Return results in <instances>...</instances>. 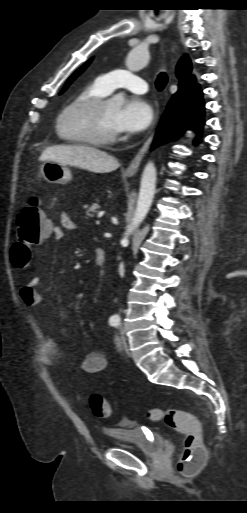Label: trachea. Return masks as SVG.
Returning <instances> with one entry per match:
<instances>
[{
    "instance_id": "trachea-1",
    "label": "trachea",
    "mask_w": 247,
    "mask_h": 513,
    "mask_svg": "<svg viewBox=\"0 0 247 513\" xmlns=\"http://www.w3.org/2000/svg\"><path fill=\"white\" fill-rule=\"evenodd\" d=\"M167 81H168L167 75L164 72L160 73L155 82L157 90L162 91L164 89V87L166 86Z\"/></svg>"
}]
</instances>
